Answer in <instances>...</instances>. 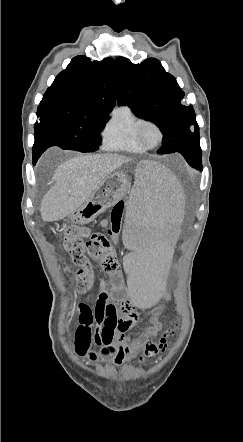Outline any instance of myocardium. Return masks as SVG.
Here are the masks:
<instances>
[{
    "label": "myocardium",
    "mask_w": 243,
    "mask_h": 442,
    "mask_svg": "<svg viewBox=\"0 0 243 442\" xmlns=\"http://www.w3.org/2000/svg\"><path fill=\"white\" fill-rule=\"evenodd\" d=\"M147 125H152V126H154V127L157 129L158 133H159V140H158V142H157L156 144H154V145H149V144H147V143L144 141L143 137H142V131H143L144 127L147 126ZM136 137H137L138 142H139L144 148H146L147 150H151V149H155V148H157L158 146H160V145L162 144V142H163V140H164V137H165V133H164V130H163L162 126H161L157 121H155V120H153V119H149V118H143V119L139 122V124H138V126H137V128H136Z\"/></svg>",
    "instance_id": "obj_1"
}]
</instances>
